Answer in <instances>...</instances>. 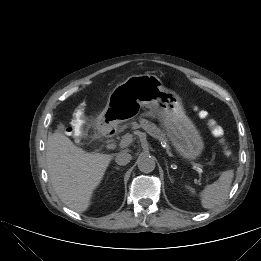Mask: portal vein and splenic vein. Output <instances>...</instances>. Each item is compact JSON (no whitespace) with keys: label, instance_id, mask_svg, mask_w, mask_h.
Listing matches in <instances>:
<instances>
[{"label":"portal vein and splenic vein","instance_id":"obj_1","mask_svg":"<svg viewBox=\"0 0 261 261\" xmlns=\"http://www.w3.org/2000/svg\"><path fill=\"white\" fill-rule=\"evenodd\" d=\"M133 142V134H130V133H127L123 136L121 142L119 143V146L121 148H124L126 146H128L130 143ZM193 167L196 168V170L200 173H203L204 172V169L202 166H200L199 164L197 163H192Z\"/></svg>","mask_w":261,"mask_h":261}]
</instances>
